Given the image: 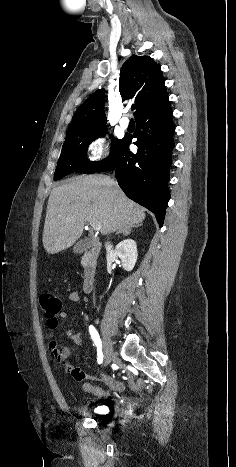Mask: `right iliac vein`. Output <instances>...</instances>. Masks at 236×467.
Masks as SVG:
<instances>
[{
	"label": "right iliac vein",
	"mask_w": 236,
	"mask_h": 467,
	"mask_svg": "<svg viewBox=\"0 0 236 467\" xmlns=\"http://www.w3.org/2000/svg\"><path fill=\"white\" fill-rule=\"evenodd\" d=\"M104 363L105 365H109L113 359V347L110 339L108 337H104Z\"/></svg>",
	"instance_id": "obj_1"
}]
</instances>
